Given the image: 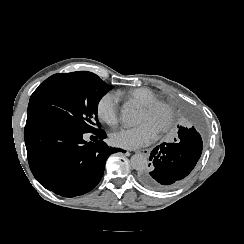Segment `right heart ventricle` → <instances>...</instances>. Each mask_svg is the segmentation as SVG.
I'll return each mask as SVG.
<instances>
[{"mask_svg": "<svg viewBox=\"0 0 244 244\" xmlns=\"http://www.w3.org/2000/svg\"><path fill=\"white\" fill-rule=\"evenodd\" d=\"M116 96L118 99H130L136 101L140 106L158 101L156 95L150 89L144 87L119 90L116 92Z\"/></svg>", "mask_w": 244, "mask_h": 244, "instance_id": "e07e8e85", "label": "right heart ventricle"}]
</instances>
